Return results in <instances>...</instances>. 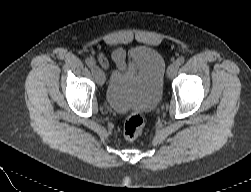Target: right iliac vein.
<instances>
[{"label":"right iliac vein","mask_w":251,"mask_h":192,"mask_svg":"<svg viewBox=\"0 0 251 192\" xmlns=\"http://www.w3.org/2000/svg\"><path fill=\"white\" fill-rule=\"evenodd\" d=\"M92 74H93L96 82L99 85H103L104 84V82H105L104 73H103V71L97 65H94L92 67Z\"/></svg>","instance_id":"right-iliac-vein-1"}]
</instances>
